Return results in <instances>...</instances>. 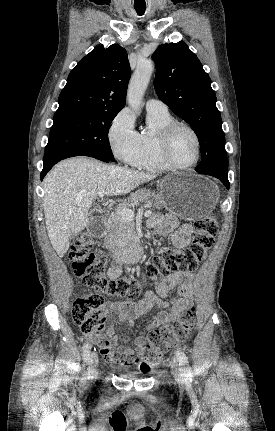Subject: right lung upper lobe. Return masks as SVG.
<instances>
[{"mask_svg":"<svg viewBox=\"0 0 275 431\" xmlns=\"http://www.w3.org/2000/svg\"><path fill=\"white\" fill-rule=\"evenodd\" d=\"M127 52L120 45L96 46L70 72L56 113L77 110L120 111L131 76Z\"/></svg>","mask_w":275,"mask_h":431,"instance_id":"right-lung-upper-lobe-1","label":"right lung upper lobe"}]
</instances>
